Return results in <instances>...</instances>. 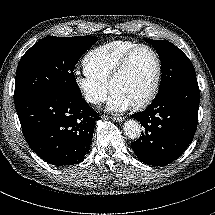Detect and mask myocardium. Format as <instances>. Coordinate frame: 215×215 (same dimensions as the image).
Segmentation results:
<instances>
[{"instance_id": "obj_1", "label": "myocardium", "mask_w": 215, "mask_h": 215, "mask_svg": "<svg viewBox=\"0 0 215 215\" xmlns=\"http://www.w3.org/2000/svg\"><path fill=\"white\" fill-rule=\"evenodd\" d=\"M140 49H147L152 53L156 63V71H155L154 80L152 82V85L147 95L140 102L131 105V109L134 111H140L148 107L152 103V101L154 100L157 94L160 81H161V76H162V60L159 53L156 51V49L149 44H137L133 46L118 60L108 82V87H109V90L111 91V87L113 83L121 76V74L126 69L133 55Z\"/></svg>"}]
</instances>
